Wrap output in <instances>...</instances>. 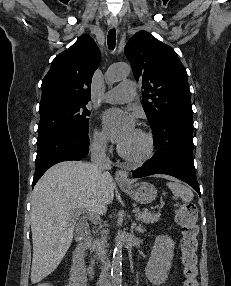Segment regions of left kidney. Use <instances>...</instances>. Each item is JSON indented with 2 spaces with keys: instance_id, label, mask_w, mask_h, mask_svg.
<instances>
[{
  "instance_id": "5707ae66",
  "label": "left kidney",
  "mask_w": 231,
  "mask_h": 286,
  "mask_svg": "<svg viewBox=\"0 0 231 286\" xmlns=\"http://www.w3.org/2000/svg\"><path fill=\"white\" fill-rule=\"evenodd\" d=\"M174 242L167 235L156 237L151 256L145 268L147 279L154 285L165 283L173 259Z\"/></svg>"
}]
</instances>
